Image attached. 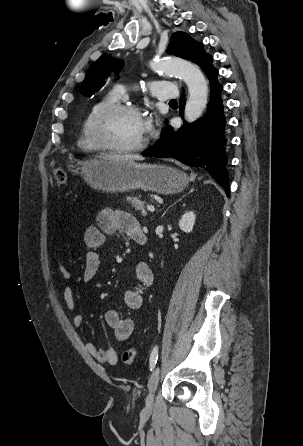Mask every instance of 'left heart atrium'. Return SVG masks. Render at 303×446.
<instances>
[{"label": "left heart atrium", "instance_id": "39dd6f15", "mask_svg": "<svg viewBox=\"0 0 303 446\" xmlns=\"http://www.w3.org/2000/svg\"><path fill=\"white\" fill-rule=\"evenodd\" d=\"M142 125L146 134L152 133L154 131V118L152 116L142 118Z\"/></svg>", "mask_w": 303, "mask_h": 446}]
</instances>
